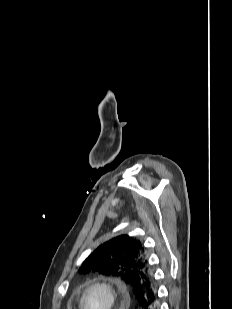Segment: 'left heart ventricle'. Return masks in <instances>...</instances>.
<instances>
[{
	"label": "left heart ventricle",
	"mask_w": 232,
	"mask_h": 309,
	"mask_svg": "<svg viewBox=\"0 0 232 309\" xmlns=\"http://www.w3.org/2000/svg\"><path fill=\"white\" fill-rule=\"evenodd\" d=\"M108 296L99 288L92 289L86 296V309H106Z\"/></svg>",
	"instance_id": "1"
}]
</instances>
